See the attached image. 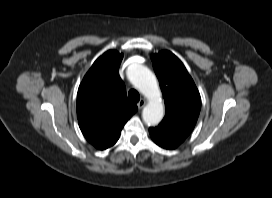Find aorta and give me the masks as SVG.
<instances>
[{"label":"aorta","mask_w":272,"mask_h":198,"mask_svg":"<svg viewBox=\"0 0 272 198\" xmlns=\"http://www.w3.org/2000/svg\"><path fill=\"white\" fill-rule=\"evenodd\" d=\"M128 78L149 99L142 111L143 121L148 126L158 125L164 116V106L155 75L147 67L134 64L128 68Z\"/></svg>","instance_id":"aorta-1"}]
</instances>
